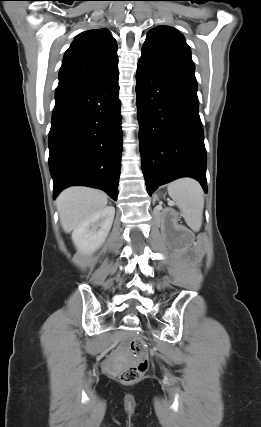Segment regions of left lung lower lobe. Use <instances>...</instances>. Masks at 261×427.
<instances>
[{"label": "left lung lower lobe", "mask_w": 261, "mask_h": 427, "mask_svg": "<svg viewBox=\"0 0 261 427\" xmlns=\"http://www.w3.org/2000/svg\"><path fill=\"white\" fill-rule=\"evenodd\" d=\"M136 95L142 170L147 192L192 177L207 193L203 127L194 72L141 55Z\"/></svg>", "instance_id": "1"}]
</instances>
